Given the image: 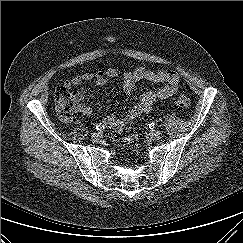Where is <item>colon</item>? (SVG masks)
<instances>
[{"label": "colon", "mask_w": 243, "mask_h": 243, "mask_svg": "<svg viewBox=\"0 0 243 243\" xmlns=\"http://www.w3.org/2000/svg\"><path fill=\"white\" fill-rule=\"evenodd\" d=\"M174 103L181 109H188L191 105V100L185 94H178L174 99ZM55 108L62 120L69 121L77 110L75 96L67 88L58 87L55 90Z\"/></svg>", "instance_id": "1"}]
</instances>
